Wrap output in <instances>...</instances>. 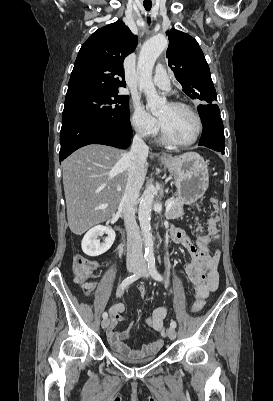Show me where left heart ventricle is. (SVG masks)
Masks as SVG:
<instances>
[{
  "label": "left heart ventricle",
  "mask_w": 273,
  "mask_h": 401,
  "mask_svg": "<svg viewBox=\"0 0 273 401\" xmlns=\"http://www.w3.org/2000/svg\"><path fill=\"white\" fill-rule=\"evenodd\" d=\"M165 129L177 140L188 141L197 133L195 118L185 109L166 105L159 113Z\"/></svg>",
  "instance_id": "left-heart-ventricle-1"
}]
</instances>
